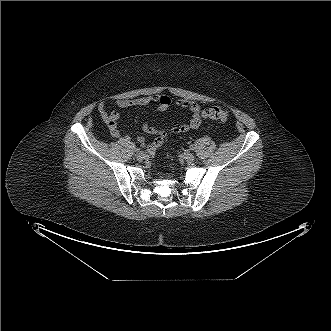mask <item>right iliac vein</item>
I'll list each match as a JSON object with an SVG mask.
<instances>
[{"instance_id":"1","label":"right iliac vein","mask_w":331,"mask_h":331,"mask_svg":"<svg viewBox=\"0 0 331 331\" xmlns=\"http://www.w3.org/2000/svg\"><path fill=\"white\" fill-rule=\"evenodd\" d=\"M146 157V154L144 152L138 153L137 154V160L142 161Z\"/></svg>"}]
</instances>
